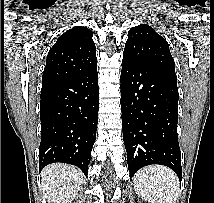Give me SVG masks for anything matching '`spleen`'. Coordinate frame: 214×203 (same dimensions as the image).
<instances>
[{
    "instance_id": "obj_1",
    "label": "spleen",
    "mask_w": 214,
    "mask_h": 203,
    "mask_svg": "<svg viewBox=\"0 0 214 203\" xmlns=\"http://www.w3.org/2000/svg\"><path fill=\"white\" fill-rule=\"evenodd\" d=\"M136 193L151 203H177L179 180L177 175L164 166H149L134 177Z\"/></svg>"
}]
</instances>
